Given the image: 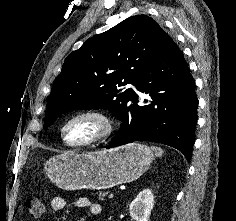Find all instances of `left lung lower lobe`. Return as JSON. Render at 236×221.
Instances as JSON below:
<instances>
[{"label": "left lung lower lobe", "mask_w": 236, "mask_h": 221, "mask_svg": "<svg viewBox=\"0 0 236 221\" xmlns=\"http://www.w3.org/2000/svg\"><path fill=\"white\" fill-rule=\"evenodd\" d=\"M135 86L150 97V103L139 106L138 95L133 92L121 118L120 131L107 148L152 141L180 150L190 161L198 99L183 53L168 34Z\"/></svg>", "instance_id": "0a47b994"}]
</instances>
